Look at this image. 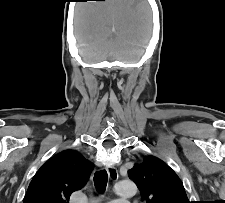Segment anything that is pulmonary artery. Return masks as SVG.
<instances>
[{
  "label": "pulmonary artery",
  "mask_w": 225,
  "mask_h": 203,
  "mask_svg": "<svg viewBox=\"0 0 225 203\" xmlns=\"http://www.w3.org/2000/svg\"><path fill=\"white\" fill-rule=\"evenodd\" d=\"M108 203H129L128 201H111V202H108Z\"/></svg>",
  "instance_id": "obj_1"
}]
</instances>
